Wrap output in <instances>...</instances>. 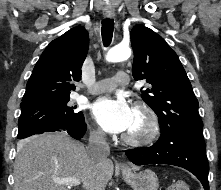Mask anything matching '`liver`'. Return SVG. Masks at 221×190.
I'll return each mask as SVG.
<instances>
[{"mask_svg": "<svg viewBox=\"0 0 221 190\" xmlns=\"http://www.w3.org/2000/svg\"><path fill=\"white\" fill-rule=\"evenodd\" d=\"M111 160H92L82 143L66 133H45L22 141L14 164V190H68L57 178H77L83 190H105L111 180Z\"/></svg>", "mask_w": 221, "mask_h": 190, "instance_id": "6515ba94", "label": "liver"}]
</instances>
